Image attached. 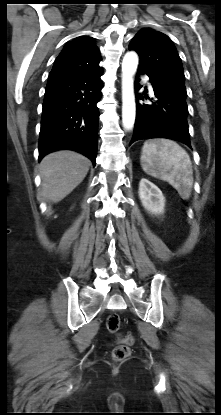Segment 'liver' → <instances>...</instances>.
<instances>
[{"instance_id": "1", "label": "liver", "mask_w": 221, "mask_h": 415, "mask_svg": "<svg viewBox=\"0 0 221 415\" xmlns=\"http://www.w3.org/2000/svg\"><path fill=\"white\" fill-rule=\"evenodd\" d=\"M89 166L90 161L74 151L46 155L39 166L44 198L53 203L60 202L83 181Z\"/></svg>"}]
</instances>
